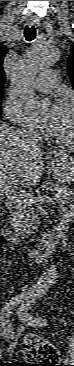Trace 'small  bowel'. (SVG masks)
<instances>
[{"instance_id":"small-bowel-1","label":"small bowel","mask_w":74,"mask_h":366,"mask_svg":"<svg viewBox=\"0 0 74 366\" xmlns=\"http://www.w3.org/2000/svg\"><path fill=\"white\" fill-rule=\"evenodd\" d=\"M56 277V271L54 269H49L45 275L40 279V283L42 284H50ZM50 344V343H49ZM51 345V344H50ZM52 346V345H51Z\"/></svg>"}]
</instances>
